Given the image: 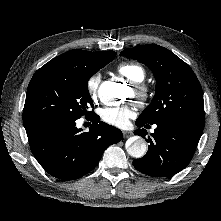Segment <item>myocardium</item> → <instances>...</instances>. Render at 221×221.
<instances>
[{"label": "myocardium", "mask_w": 221, "mask_h": 221, "mask_svg": "<svg viewBox=\"0 0 221 221\" xmlns=\"http://www.w3.org/2000/svg\"><path fill=\"white\" fill-rule=\"evenodd\" d=\"M133 95L140 102H145L149 98L150 90L144 82L132 83Z\"/></svg>", "instance_id": "obj_1"}]
</instances>
